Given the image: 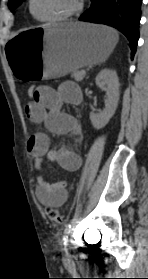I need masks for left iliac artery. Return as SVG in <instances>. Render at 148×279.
Wrapping results in <instances>:
<instances>
[{
	"mask_svg": "<svg viewBox=\"0 0 148 279\" xmlns=\"http://www.w3.org/2000/svg\"><path fill=\"white\" fill-rule=\"evenodd\" d=\"M70 228H71V225H70V224H67V225H66V228H65V230H64V235H63L64 244L67 243L68 235H69V233H70Z\"/></svg>",
	"mask_w": 148,
	"mask_h": 279,
	"instance_id": "left-iliac-artery-1",
	"label": "left iliac artery"
}]
</instances>
